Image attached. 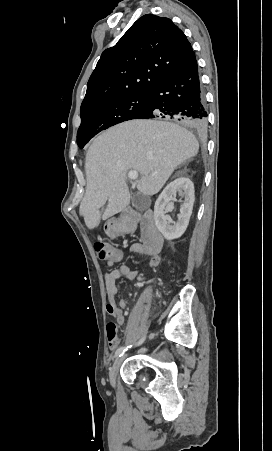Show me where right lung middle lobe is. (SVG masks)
<instances>
[{
    "instance_id": "dd1d6c3e",
    "label": "right lung middle lobe",
    "mask_w": 272,
    "mask_h": 451,
    "mask_svg": "<svg viewBox=\"0 0 272 451\" xmlns=\"http://www.w3.org/2000/svg\"><path fill=\"white\" fill-rule=\"evenodd\" d=\"M149 94L131 95L105 101L80 113L77 144L83 148L96 134L123 121L136 119L148 105Z\"/></svg>"
}]
</instances>
